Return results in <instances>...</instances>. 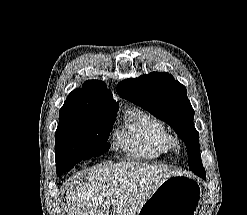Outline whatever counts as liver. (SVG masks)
Masks as SVG:
<instances>
[{
    "instance_id": "liver-1",
    "label": "liver",
    "mask_w": 247,
    "mask_h": 215,
    "mask_svg": "<svg viewBox=\"0 0 247 215\" xmlns=\"http://www.w3.org/2000/svg\"><path fill=\"white\" fill-rule=\"evenodd\" d=\"M181 172L163 165L120 162L79 173L66 190L68 215H136L155 189Z\"/></svg>"
}]
</instances>
